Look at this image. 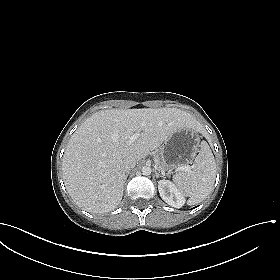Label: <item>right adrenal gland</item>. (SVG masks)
Wrapping results in <instances>:
<instances>
[{
	"label": "right adrenal gland",
	"mask_w": 280,
	"mask_h": 280,
	"mask_svg": "<svg viewBox=\"0 0 280 280\" xmlns=\"http://www.w3.org/2000/svg\"><path fill=\"white\" fill-rule=\"evenodd\" d=\"M129 174V173H128ZM128 174L126 175V179H127V177H128ZM126 181V180H125Z\"/></svg>",
	"instance_id": "obj_1"
}]
</instances>
